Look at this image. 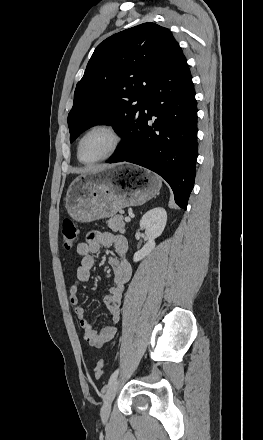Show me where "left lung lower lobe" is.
<instances>
[{
    "label": "left lung lower lobe",
    "instance_id": "0a47b994",
    "mask_svg": "<svg viewBox=\"0 0 263 440\" xmlns=\"http://www.w3.org/2000/svg\"><path fill=\"white\" fill-rule=\"evenodd\" d=\"M152 116L156 117L154 122ZM197 158V108L192 77L176 42L147 91L144 107L127 140L107 163L131 162L150 169L171 186L187 208Z\"/></svg>",
    "mask_w": 263,
    "mask_h": 440
}]
</instances>
